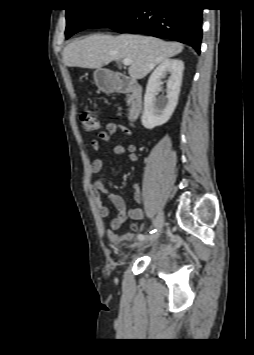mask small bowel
Returning <instances> with one entry per match:
<instances>
[{
  "label": "small bowel",
  "instance_id": "small-bowel-1",
  "mask_svg": "<svg viewBox=\"0 0 254 355\" xmlns=\"http://www.w3.org/2000/svg\"><path fill=\"white\" fill-rule=\"evenodd\" d=\"M118 130H121L129 139L127 145L118 144L113 148V152L117 156L127 154L130 161H137L136 147L132 142V131L125 125L111 122L106 125L105 130L98 133V138L91 141L90 146L93 151L98 152L101 148L100 142H109L111 136ZM103 168V160L95 159L90 166L92 173H99ZM92 198L95 205L98 208V213L102 219L109 217L110 211L107 206L103 204L102 195L107 196L110 203L117 211V215L110 219L106 228V234L113 245H119L128 241H132L135 235L143 230L144 224L142 219L145 216V212L141 208H128L125 200L122 196L110 191L102 182L101 179H96L92 183ZM133 197L136 203L142 202V195L140 188L137 184L133 185ZM132 219L135 222L131 225L130 229L117 233V229L127 220Z\"/></svg>",
  "mask_w": 254,
  "mask_h": 355
}]
</instances>
